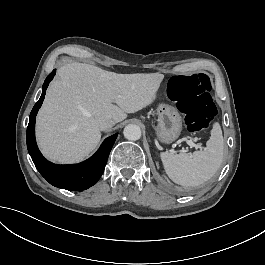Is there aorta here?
Wrapping results in <instances>:
<instances>
[{"label": "aorta", "mask_w": 265, "mask_h": 265, "mask_svg": "<svg viewBox=\"0 0 265 265\" xmlns=\"http://www.w3.org/2000/svg\"><path fill=\"white\" fill-rule=\"evenodd\" d=\"M124 137L129 141H136L141 137V130L137 125H127L123 130Z\"/></svg>", "instance_id": "aorta-1"}]
</instances>
